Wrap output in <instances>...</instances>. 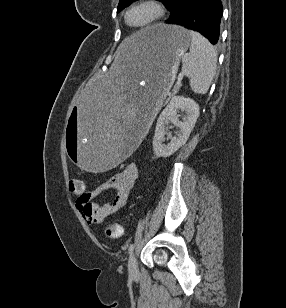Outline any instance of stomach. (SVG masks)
Segmentation results:
<instances>
[{"mask_svg": "<svg viewBox=\"0 0 286 308\" xmlns=\"http://www.w3.org/2000/svg\"><path fill=\"white\" fill-rule=\"evenodd\" d=\"M137 35L123 40L105 81H94L70 112L64 149L80 173L119 168L135 153L191 45L178 25L159 23Z\"/></svg>", "mask_w": 286, "mask_h": 308, "instance_id": "stomach-1", "label": "stomach"}]
</instances>
